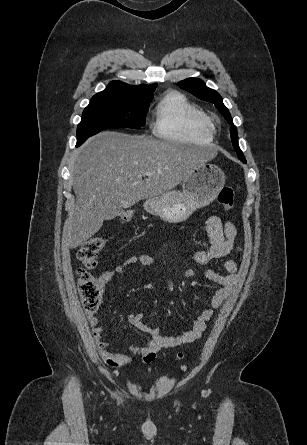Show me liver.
<instances>
[{
  "label": "liver",
  "instance_id": "6515ba94",
  "mask_svg": "<svg viewBox=\"0 0 307 445\" xmlns=\"http://www.w3.org/2000/svg\"><path fill=\"white\" fill-rule=\"evenodd\" d=\"M208 156L194 144L116 130L98 132L75 156L76 204L64 227L63 247L76 249L86 243L105 218H115L121 208L169 192ZM157 170L161 172L142 180L143 172Z\"/></svg>",
  "mask_w": 307,
  "mask_h": 445
}]
</instances>
